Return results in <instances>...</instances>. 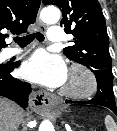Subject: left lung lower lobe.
<instances>
[{"label":"left lung lower lobe","instance_id":"obj_1","mask_svg":"<svg viewBox=\"0 0 117 131\" xmlns=\"http://www.w3.org/2000/svg\"><path fill=\"white\" fill-rule=\"evenodd\" d=\"M66 103H82V104L101 105V106H105L111 109L117 115L114 96H112V91L108 88L98 89L97 94L90 101L66 100Z\"/></svg>","mask_w":117,"mask_h":131}]
</instances>
